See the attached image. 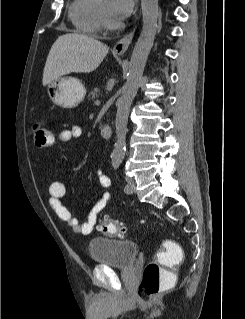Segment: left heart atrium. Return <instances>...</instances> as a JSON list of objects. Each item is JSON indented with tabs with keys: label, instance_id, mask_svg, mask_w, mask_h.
Returning <instances> with one entry per match:
<instances>
[{
	"label": "left heart atrium",
	"instance_id": "39dd6f15",
	"mask_svg": "<svg viewBox=\"0 0 245 319\" xmlns=\"http://www.w3.org/2000/svg\"><path fill=\"white\" fill-rule=\"evenodd\" d=\"M136 0H113L112 13L115 19L124 20L126 19L135 6Z\"/></svg>",
	"mask_w": 245,
	"mask_h": 319
}]
</instances>
